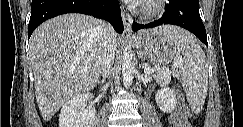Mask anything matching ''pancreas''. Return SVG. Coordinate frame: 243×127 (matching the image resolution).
<instances>
[{"mask_svg": "<svg viewBox=\"0 0 243 127\" xmlns=\"http://www.w3.org/2000/svg\"><path fill=\"white\" fill-rule=\"evenodd\" d=\"M152 72L148 73L150 77L156 80L161 85H166L170 82V76H164L160 73V70L151 68Z\"/></svg>", "mask_w": 243, "mask_h": 127, "instance_id": "cf45deb5", "label": "pancreas"}]
</instances>
